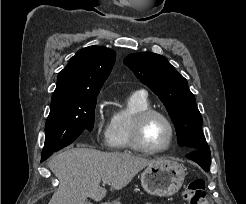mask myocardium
Masks as SVG:
<instances>
[{
    "label": "myocardium",
    "mask_w": 246,
    "mask_h": 204,
    "mask_svg": "<svg viewBox=\"0 0 246 204\" xmlns=\"http://www.w3.org/2000/svg\"><path fill=\"white\" fill-rule=\"evenodd\" d=\"M153 116H158L162 118L169 128V139L163 147L160 148H149L142 140V132L146 122ZM175 127L171 119L163 112L149 108L144 111L139 112L133 119L131 131H130V144L132 148L146 153V154H157L167 151L173 144L175 139Z\"/></svg>",
    "instance_id": "f54148a6"
}]
</instances>
